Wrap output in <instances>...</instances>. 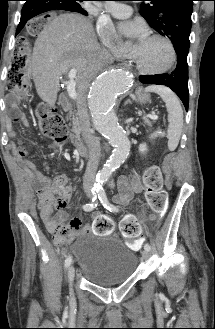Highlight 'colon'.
<instances>
[{"label":"colon","instance_id":"1","mask_svg":"<svg viewBox=\"0 0 215 329\" xmlns=\"http://www.w3.org/2000/svg\"><path fill=\"white\" fill-rule=\"evenodd\" d=\"M54 21V14H35V19H30V25H26V32H32V37H21L18 41L16 50L10 62L9 74V102L7 109H22V103H26L29 97L28 85L24 79L23 69L26 67V58L30 49V44L35 43V38H45L47 26H51ZM40 121L42 133L53 139L57 144H62L66 139V128L62 117L53 109L45 105H40L36 110ZM143 181L146 187L145 197L148 206L152 210V217L165 218L170 217L168 210V198L163 190V178L158 166H149L143 174ZM43 199L46 205L61 209L66 205L65 183L55 181L47 190L43 192ZM96 220H111L108 217L101 216ZM121 233L127 238H137L141 233L139 222L133 217H127L122 220L120 225ZM53 233L59 242H63L67 237V230L54 225Z\"/></svg>","mask_w":215,"mask_h":329}]
</instances>
